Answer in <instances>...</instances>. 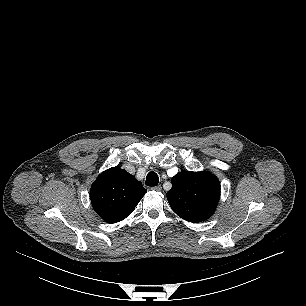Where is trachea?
I'll return each mask as SVG.
<instances>
[{"mask_svg":"<svg viewBox=\"0 0 306 306\" xmlns=\"http://www.w3.org/2000/svg\"><path fill=\"white\" fill-rule=\"evenodd\" d=\"M159 182V177L155 172H149L146 177V185L153 187L156 186Z\"/></svg>","mask_w":306,"mask_h":306,"instance_id":"obj_1","label":"trachea"}]
</instances>
